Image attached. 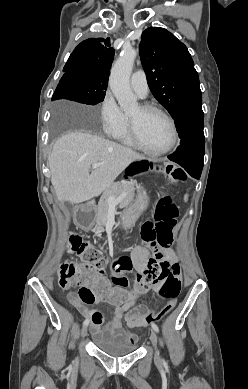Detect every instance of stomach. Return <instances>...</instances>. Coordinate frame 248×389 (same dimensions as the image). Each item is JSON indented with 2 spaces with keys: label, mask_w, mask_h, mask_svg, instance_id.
Returning <instances> with one entry per match:
<instances>
[{
  "label": "stomach",
  "mask_w": 248,
  "mask_h": 389,
  "mask_svg": "<svg viewBox=\"0 0 248 389\" xmlns=\"http://www.w3.org/2000/svg\"><path fill=\"white\" fill-rule=\"evenodd\" d=\"M168 170H172L173 166L168 165ZM139 190L143 189L142 185L138 186ZM148 203V196L145 191H141L135 201V204H129L128 207H124L121 209L122 213H118L116 218L121 225L120 230L122 234H126L129 231V226L134 225V220L141 214V209H144ZM96 216L93 213H85V220H93Z\"/></svg>",
  "instance_id": "stomach-1"
}]
</instances>
